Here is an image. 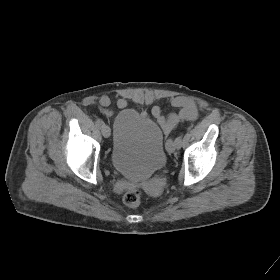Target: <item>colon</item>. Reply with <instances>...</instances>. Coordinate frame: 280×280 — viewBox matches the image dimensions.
Instances as JSON below:
<instances>
[{"label":"colon","mask_w":280,"mask_h":280,"mask_svg":"<svg viewBox=\"0 0 280 280\" xmlns=\"http://www.w3.org/2000/svg\"><path fill=\"white\" fill-rule=\"evenodd\" d=\"M124 203L129 207H136L141 201V191L138 189L128 190L123 197Z\"/></svg>","instance_id":"obj_1"}]
</instances>
